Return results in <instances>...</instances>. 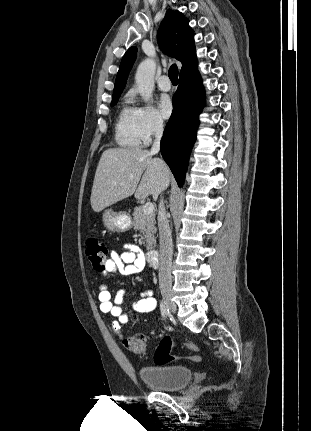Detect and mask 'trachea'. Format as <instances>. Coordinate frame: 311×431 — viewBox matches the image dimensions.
I'll use <instances>...</instances> for the list:
<instances>
[{
  "label": "trachea",
  "instance_id": "obj_1",
  "mask_svg": "<svg viewBox=\"0 0 311 431\" xmlns=\"http://www.w3.org/2000/svg\"><path fill=\"white\" fill-rule=\"evenodd\" d=\"M168 76L173 84L178 83V67L176 65H172L169 68Z\"/></svg>",
  "mask_w": 311,
  "mask_h": 431
}]
</instances>
